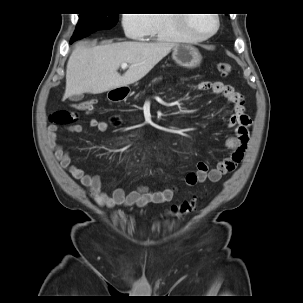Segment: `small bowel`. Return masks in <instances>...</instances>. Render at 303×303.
<instances>
[{"instance_id":"1","label":"small bowel","mask_w":303,"mask_h":303,"mask_svg":"<svg viewBox=\"0 0 303 303\" xmlns=\"http://www.w3.org/2000/svg\"><path fill=\"white\" fill-rule=\"evenodd\" d=\"M183 80V79H182ZM199 90H211L214 94L225 97L232 105L233 114L228 120V126L234 129V135L226 140V147L229 155L226 159L219 162L216 167L209 168L205 161L197 163L196 171L189 173L186 177V185L195 186L197 183L206 180L217 183L221 178L234 171L237 165L242 161L244 153L247 149L249 141V129L251 127V118L244 113V99L240 92L236 91L232 86L216 81L211 84L200 82L195 85ZM89 126L95 128L99 132H107L109 124L105 121L92 118L89 120ZM68 129L73 132H82L83 127L79 124L69 126ZM57 127L50 126L47 130L48 144L56 160L61 167L67 170L82 186H84L91 198L100 206L128 207L136 206L144 208L149 204H164L170 202L179 192L177 186L165 187L157 191H150L146 187H140L126 193L122 188H115L111 194L102 190V185L97 177L85 173L71 162L68 150L56 140Z\"/></svg>"}]
</instances>
